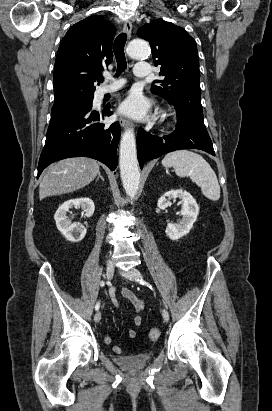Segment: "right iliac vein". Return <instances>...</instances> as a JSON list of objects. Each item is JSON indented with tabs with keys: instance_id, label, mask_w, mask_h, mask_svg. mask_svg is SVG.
Returning a JSON list of instances; mask_svg holds the SVG:
<instances>
[{
	"instance_id": "1",
	"label": "right iliac vein",
	"mask_w": 272,
	"mask_h": 411,
	"mask_svg": "<svg viewBox=\"0 0 272 411\" xmlns=\"http://www.w3.org/2000/svg\"><path fill=\"white\" fill-rule=\"evenodd\" d=\"M113 275H114V267L111 264L108 263L106 265V269H105V276H106L107 280H109V281L112 280ZM100 319H101V312L97 311L94 315V321L96 323H98L100 321Z\"/></svg>"
}]
</instances>
